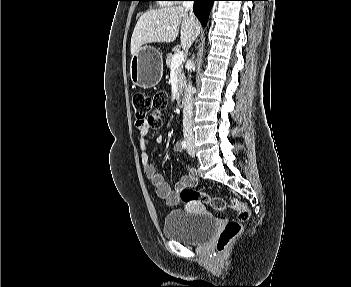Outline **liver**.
I'll return each instance as SVG.
<instances>
[{
  "mask_svg": "<svg viewBox=\"0 0 351 287\" xmlns=\"http://www.w3.org/2000/svg\"><path fill=\"white\" fill-rule=\"evenodd\" d=\"M180 30L183 49L188 50L198 34L200 25L192 20L182 6L163 7L145 12L137 21L131 37V54L138 53L148 43L173 42Z\"/></svg>",
  "mask_w": 351,
  "mask_h": 287,
  "instance_id": "1",
  "label": "liver"
}]
</instances>
